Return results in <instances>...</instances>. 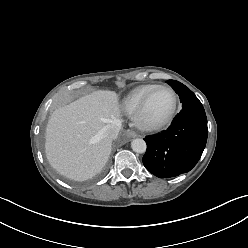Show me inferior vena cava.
<instances>
[{
    "label": "inferior vena cava",
    "mask_w": 248,
    "mask_h": 248,
    "mask_svg": "<svg viewBox=\"0 0 248 248\" xmlns=\"http://www.w3.org/2000/svg\"><path fill=\"white\" fill-rule=\"evenodd\" d=\"M122 127V122L119 119H114L110 124L103 128V133L108 139L114 140L119 134Z\"/></svg>",
    "instance_id": "inferior-vena-cava-1"
}]
</instances>
